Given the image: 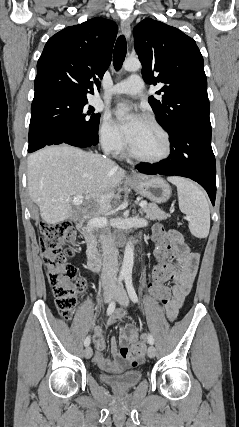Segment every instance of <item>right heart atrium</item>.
<instances>
[{
	"label": "right heart atrium",
	"instance_id": "1",
	"mask_svg": "<svg viewBox=\"0 0 239 427\" xmlns=\"http://www.w3.org/2000/svg\"><path fill=\"white\" fill-rule=\"evenodd\" d=\"M98 137L107 152L117 155L123 151L124 139L108 115H104L101 119Z\"/></svg>",
	"mask_w": 239,
	"mask_h": 427
}]
</instances>
